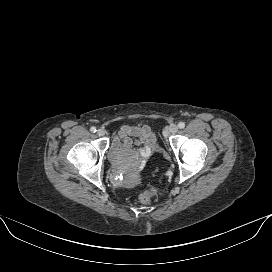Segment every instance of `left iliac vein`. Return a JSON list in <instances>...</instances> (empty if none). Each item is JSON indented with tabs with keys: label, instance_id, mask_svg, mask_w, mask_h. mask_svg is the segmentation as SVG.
<instances>
[{
	"label": "left iliac vein",
	"instance_id": "obj_1",
	"mask_svg": "<svg viewBox=\"0 0 272 272\" xmlns=\"http://www.w3.org/2000/svg\"><path fill=\"white\" fill-rule=\"evenodd\" d=\"M178 131V126L175 124H172L169 128H168V132L171 134H175Z\"/></svg>",
	"mask_w": 272,
	"mask_h": 272
}]
</instances>
